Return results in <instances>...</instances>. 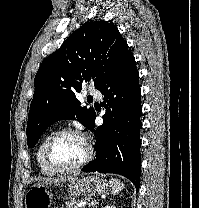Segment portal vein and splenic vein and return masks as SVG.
<instances>
[{"mask_svg": "<svg viewBox=\"0 0 199 208\" xmlns=\"http://www.w3.org/2000/svg\"><path fill=\"white\" fill-rule=\"evenodd\" d=\"M83 204H80V206H82ZM97 205V202H91L89 203V207H94Z\"/></svg>", "mask_w": 199, "mask_h": 208, "instance_id": "portal-vein-and-splenic-vein-1", "label": "portal vein and splenic vein"}]
</instances>
